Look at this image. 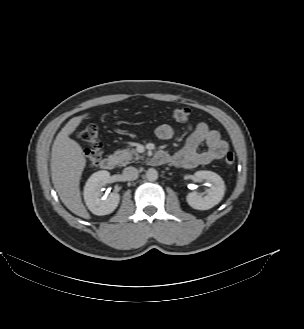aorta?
I'll return each mask as SVG.
<instances>
[{
  "mask_svg": "<svg viewBox=\"0 0 304 329\" xmlns=\"http://www.w3.org/2000/svg\"><path fill=\"white\" fill-rule=\"evenodd\" d=\"M146 178L149 181H156L158 179V172L154 168H150L146 172Z\"/></svg>",
  "mask_w": 304,
  "mask_h": 329,
  "instance_id": "762f6f07",
  "label": "aorta"
}]
</instances>
